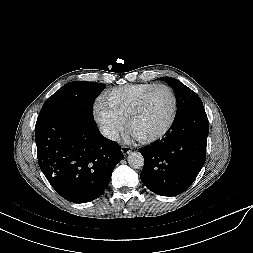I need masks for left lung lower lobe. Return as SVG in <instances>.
Here are the masks:
<instances>
[{
    "instance_id": "left-lung-lower-lobe-1",
    "label": "left lung lower lobe",
    "mask_w": 253,
    "mask_h": 253,
    "mask_svg": "<svg viewBox=\"0 0 253 253\" xmlns=\"http://www.w3.org/2000/svg\"><path fill=\"white\" fill-rule=\"evenodd\" d=\"M209 132L203 106L180 113L166 137L139 151L145 163L140 174L142 183L162 196H176L194 181L206 160Z\"/></svg>"
}]
</instances>
